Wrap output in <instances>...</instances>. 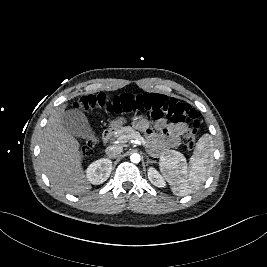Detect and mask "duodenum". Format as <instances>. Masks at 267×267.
Returning a JSON list of instances; mask_svg holds the SVG:
<instances>
[{"label": "duodenum", "mask_w": 267, "mask_h": 267, "mask_svg": "<svg viewBox=\"0 0 267 267\" xmlns=\"http://www.w3.org/2000/svg\"><path fill=\"white\" fill-rule=\"evenodd\" d=\"M112 134H113V130L111 128L105 129L101 135V142L103 144L107 143L110 140Z\"/></svg>", "instance_id": "1"}]
</instances>
